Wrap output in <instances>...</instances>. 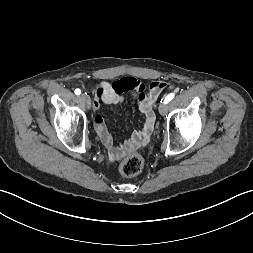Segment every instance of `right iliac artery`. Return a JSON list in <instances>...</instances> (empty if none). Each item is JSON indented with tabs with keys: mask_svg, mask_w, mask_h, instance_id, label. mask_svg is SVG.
<instances>
[{
	"mask_svg": "<svg viewBox=\"0 0 253 253\" xmlns=\"http://www.w3.org/2000/svg\"><path fill=\"white\" fill-rule=\"evenodd\" d=\"M75 94L76 95H80L81 94V90L80 89H75Z\"/></svg>",
	"mask_w": 253,
	"mask_h": 253,
	"instance_id": "1",
	"label": "right iliac artery"
}]
</instances>
